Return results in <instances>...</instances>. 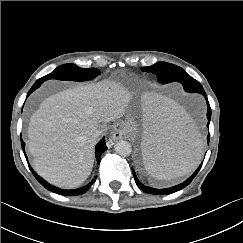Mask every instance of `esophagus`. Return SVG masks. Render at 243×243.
<instances>
[{
	"label": "esophagus",
	"mask_w": 243,
	"mask_h": 243,
	"mask_svg": "<svg viewBox=\"0 0 243 243\" xmlns=\"http://www.w3.org/2000/svg\"><path fill=\"white\" fill-rule=\"evenodd\" d=\"M128 136V133L125 129L119 128L117 129L110 137V142H116L118 140L126 139Z\"/></svg>",
	"instance_id": "1"
}]
</instances>
